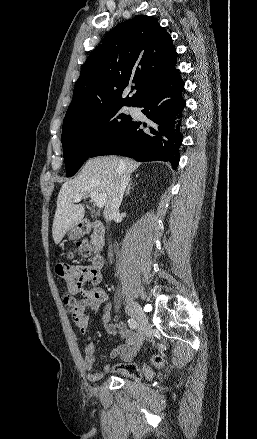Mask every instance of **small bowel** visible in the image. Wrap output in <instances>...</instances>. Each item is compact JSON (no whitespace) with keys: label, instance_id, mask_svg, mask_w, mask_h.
Instances as JSON below:
<instances>
[{"label":"small bowel","instance_id":"c3829d8e","mask_svg":"<svg viewBox=\"0 0 257 439\" xmlns=\"http://www.w3.org/2000/svg\"><path fill=\"white\" fill-rule=\"evenodd\" d=\"M56 273L65 280L71 292H80L84 298L79 311L72 315L79 331L82 334L87 332L89 323L87 309L95 313L103 310V325L106 332L109 335H119L123 340L122 344L115 347L110 354L111 358L119 359L115 370L121 371L137 355L138 343L135 334L123 322L111 319V305L108 295L99 286L102 279L101 273L91 266L69 264H59L56 267ZM86 283H90L91 288H84ZM96 362L95 345L89 340L84 347L83 364L87 372V379L92 382L100 380L109 371V366H105L103 370L95 372Z\"/></svg>","mask_w":257,"mask_h":439}]
</instances>
